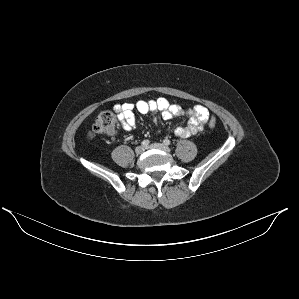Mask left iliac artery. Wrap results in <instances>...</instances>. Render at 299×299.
I'll return each mask as SVG.
<instances>
[{"label":"left iliac artery","mask_w":299,"mask_h":299,"mask_svg":"<svg viewBox=\"0 0 299 299\" xmlns=\"http://www.w3.org/2000/svg\"><path fill=\"white\" fill-rule=\"evenodd\" d=\"M163 143H164L165 145H170V144H171V141L168 140V139H165V140L163 141Z\"/></svg>","instance_id":"obj_1"}]
</instances>
